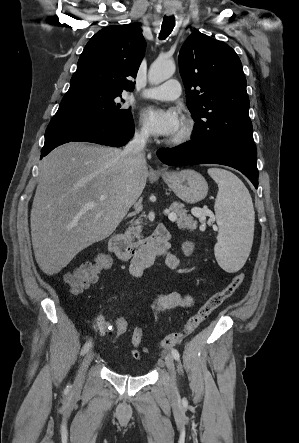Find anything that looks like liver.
Masks as SVG:
<instances>
[{
	"instance_id": "obj_1",
	"label": "liver",
	"mask_w": 299,
	"mask_h": 443,
	"mask_svg": "<svg viewBox=\"0 0 299 443\" xmlns=\"http://www.w3.org/2000/svg\"><path fill=\"white\" fill-rule=\"evenodd\" d=\"M122 152L70 142L43 158L30 222L35 259L47 275L111 235L143 192L146 163L133 167Z\"/></svg>"
}]
</instances>
